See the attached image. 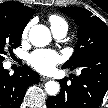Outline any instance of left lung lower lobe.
Here are the masks:
<instances>
[{
  "mask_svg": "<svg viewBox=\"0 0 108 108\" xmlns=\"http://www.w3.org/2000/svg\"><path fill=\"white\" fill-rule=\"evenodd\" d=\"M71 84L61 80V91L47 99L48 108H98L108 91V60L101 65H84ZM73 70V69H71Z\"/></svg>",
  "mask_w": 108,
  "mask_h": 108,
  "instance_id": "left-lung-lower-lobe-1",
  "label": "left lung lower lobe"
}]
</instances>
